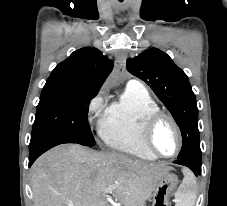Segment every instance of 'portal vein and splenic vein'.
<instances>
[{
    "label": "portal vein and splenic vein",
    "instance_id": "18ae733b",
    "mask_svg": "<svg viewBox=\"0 0 227 206\" xmlns=\"http://www.w3.org/2000/svg\"><path fill=\"white\" fill-rule=\"evenodd\" d=\"M116 187L114 186V185H112V186H109L105 191L106 192H111L112 190H114ZM69 206H74L72 203L71 204H69Z\"/></svg>",
    "mask_w": 227,
    "mask_h": 206
}]
</instances>
